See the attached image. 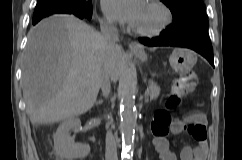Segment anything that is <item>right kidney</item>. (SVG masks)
Here are the masks:
<instances>
[{
	"instance_id": "right-kidney-1",
	"label": "right kidney",
	"mask_w": 242,
	"mask_h": 160,
	"mask_svg": "<svg viewBox=\"0 0 242 160\" xmlns=\"http://www.w3.org/2000/svg\"><path fill=\"white\" fill-rule=\"evenodd\" d=\"M80 126L78 118L68 119L58 127L53 136L55 150L65 160L83 159L90 152L88 144L75 143L69 134L71 129H78Z\"/></svg>"
}]
</instances>
